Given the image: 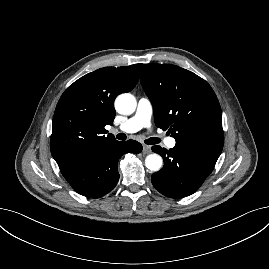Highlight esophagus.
Segmentation results:
<instances>
[{"instance_id": "34e87169", "label": "esophagus", "mask_w": 269, "mask_h": 269, "mask_svg": "<svg viewBox=\"0 0 269 269\" xmlns=\"http://www.w3.org/2000/svg\"><path fill=\"white\" fill-rule=\"evenodd\" d=\"M143 153H144V154H149V153H151V147L148 146V145H144V146H143Z\"/></svg>"}]
</instances>
